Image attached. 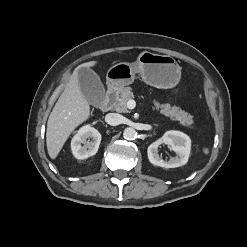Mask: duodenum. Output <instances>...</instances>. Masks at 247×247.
I'll return each mask as SVG.
<instances>
[{"instance_id":"duodenum-1","label":"duodenum","mask_w":247,"mask_h":247,"mask_svg":"<svg viewBox=\"0 0 247 247\" xmlns=\"http://www.w3.org/2000/svg\"><path fill=\"white\" fill-rule=\"evenodd\" d=\"M118 98V90L116 88H109L105 94L101 109L108 111L116 103Z\"/></svg>"}]
</instances>
